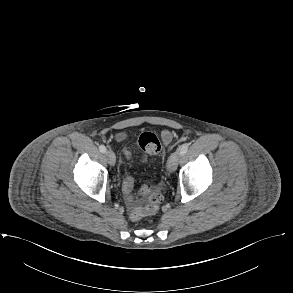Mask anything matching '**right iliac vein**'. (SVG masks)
Returning <instances> with one entry per match:
<instances>
[{
  "mask_svg": "<svg viewBox=\"0 0 293 293\" xmlns=\"http://www.w3.org/2000/svg\"><path fill=\"white\" fill-rule=\"evenodd\" d=\"M105 156H106L109 164L113 166L116 162V156H115L114 152L112 150H107L105 152Z\"/></svg>",
  "mask_w": 293,
  "mask_h": 293,
  "instance_id": "63e3f726",
  "label": "right iliac vein"
}]
</instances>
